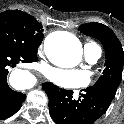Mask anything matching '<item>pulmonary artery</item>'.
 Masks as SVG:
<instances>
[{"label":"pulmonary artery","mask_w":124,"mask_h":124,"mask_svg":"<svg viewBox=\"0 0 124 124\" xmlns=\"http://www.w3.org/2000/svg\"><path fill=\"white\" fill-rule=\"evenodd\" d=\"M86 59L90 63H95L101 56V50L99 47L94 49L85 48Z\"/></svg>","instance_id":"pulmonary-artery-1"}]
</instances>
